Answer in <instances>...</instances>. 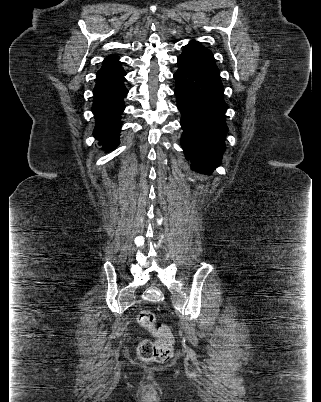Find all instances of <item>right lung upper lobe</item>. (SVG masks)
Masks as SVG:
<instances>
[{"label":"right lung upper lobe","instance_id":"1","mask_svg":"<svg viewBox=\"0 0 321 402\" xmlns=\"http://www.w3.org/2000/svg\"><path fill=\"white\" fill-rule=\"evenodd\" d=\"M119 57L116 55H110L105 60L104 63H120L118 61Z\"/></svg>","mask_w":321,"mask_h":402}]
</instances>
